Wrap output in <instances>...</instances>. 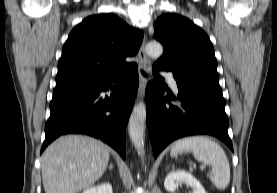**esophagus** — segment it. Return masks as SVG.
<instances>
[{"label":"esophagus","mask_w":277,"mask_h":193,"mask_svg":"<svg viewBox=\"0 0 277 193\" xmlns=\"http://www.w3.org/2000/svg\"><path fill=\"white\" fill-rule=\"evenodd\" d=\"M145 44H146V38L144 36L142 44H141L139 52H138V58H139V64H140L141 69L143 71L147 72L149 60H148V57L145 52ZM146 85H147V80L144 76H142L140 78V85H139L137 99L140 100V99L144 98Z\"/></svg>","instance_id":"obj_1"}]
</instances>
